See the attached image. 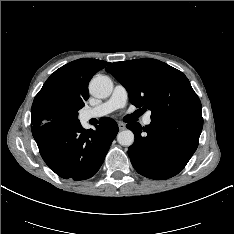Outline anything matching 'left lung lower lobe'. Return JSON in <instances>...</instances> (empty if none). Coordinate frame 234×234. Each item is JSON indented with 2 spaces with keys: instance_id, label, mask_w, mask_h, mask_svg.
<instances>
[{
  "instance_id": "obj_1",
  "label": "left lung lower lobe",
  "mask_w": 234,
  "mask_h": 234,
  "mask_svg": "<svg viewBox=\"0 0 234 234\" xmlns=\"http://www.w3.org/2000/svg\"><path fill=\"white\" fill-rule=\"evenodd\" d=\"M135 135L128 155L134 169L151 179H168L178 174L197 149L203 128L202 115L151 120L141 127L127 124Z\"/></svg>"
}]
</instances>
